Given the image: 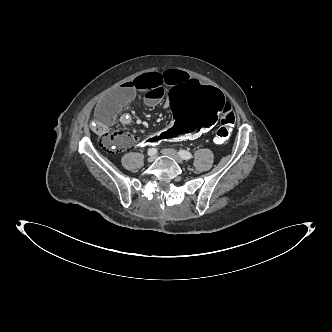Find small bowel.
Returning a JSON list of instances; mask_svg holds the SVG:
<instances>
[{
  "label": "small bowel",
  "instance_id": "small-bowel-1",
  "mask_svg": "<svg viewBox=\"0 0 332 332\" xmlns=\"http://www.w3.org/2000/svg\"><path fill=\"white\" fill-rule=\"evenodd\" d=\"M188 82L202 83L197 79L191 78L184 71L177 69H167L162 72L151 71L141 74L125 82L104 97L97 104L94 117L97 123L107 126L114 120L121 108L134 99L137 92H143L146 105L153 107L164 99L168 88L172 89ZM120 121L122 124L128 125L131 123V118L123 115L120 117ZM121 139L126 147L131 146L135 142V138L129 134H122Z\"/></svg>",
  "mask_w": 332,
  "mask_h": 332
}]
</instances>
